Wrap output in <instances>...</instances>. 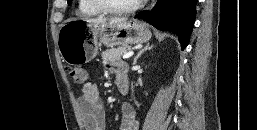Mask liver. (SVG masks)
Listing matches in <instances>:
<instances>
[{
    "label": "liver",
    "instance_id": "1",
    "mask_svg": "<svg viewBox=\"0 0 257 130\" xmlns=\"http://www.w3.org/2000/svg\"><path fill=\"white\" fill-rule=\"evenodd\" d=\"M127 20V18H111V19H107V18H103V17H99V18H94V19H86L85 21L90 24V25H94V26H99V25H107V24H116L122 21Z\"/></svg>",
    "mask_w": 257,
    "mask_h": 130
}]
</instances>
